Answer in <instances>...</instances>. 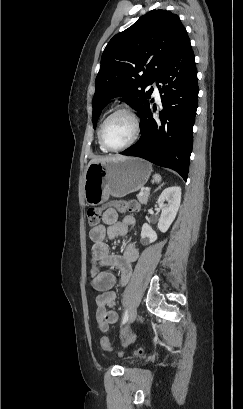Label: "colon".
Here are the masks:
<instances>
[{
  "mask_svg": "<svg viewBox=\"0 0 243 409\" xmlns=\"http://www.w3.org/2000/svg\"><path fill=\"white\" fill-rule=\"evenodd\" d=\"M115 207L120 213H136L139 211V204L135 200H117L104 206H93L87 210V223L90 227H95L99 224L104 208ZM101 348L105 351L111 350V345L107 337L103 336L100 340ZM143 350L138 349L135 355H142Z\"/></svg>",
  "mask_w": 243,
  "mask_h": 409,
  "instance_id": "obj_1",
  "label": "colon"
}]
</instances>
